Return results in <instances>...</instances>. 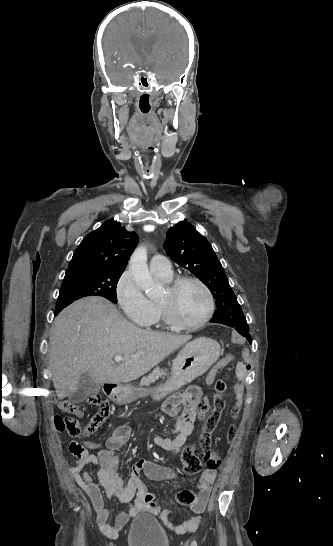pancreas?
Masks as SVG:
<instances>
[{"label":"pancreas","mask_w":333,"mask_h":546,"mask_svg":"<svg viewBox=\"0 0 333 546\" xmlns=\"http://www.w3.org/2000/svg\"><path fill=\"white\" fill-rule=\"evenodd\" d=\"M166 372L159 367H156L148 376H145L140 381V387L137 389L138 392L144 390L143 386H149L151 383H154L159 378H164Z\"/></svg>","instance_id":"cf45deb5"}]
</instances>
